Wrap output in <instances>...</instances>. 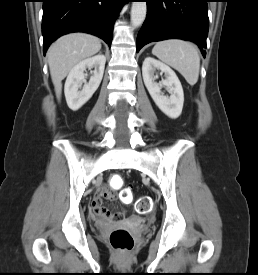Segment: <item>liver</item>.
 Segmentation results:
<instances>
[{"mask_svg":"<svg viewBox=\"0 0 258 275\" xmlns=\"http://www.w3.org/2000/svg\"><path fill=\"white\" fill-rule=\"evenodd\" d=\"M100 49V39L85 33L65 35L50 46L48 64L58 100L61 97L62 80L75 65L95 55Z\"/></svg>","mask_w":258,"mask_h":275,"instance_id":"liver-1","label":"liver"}]
</instances>
